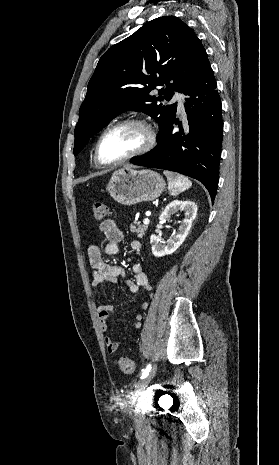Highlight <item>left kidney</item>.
<instances>
[{
    "mask_svg": "<svg viewBox=\"0 0 279 465\" xmlns=\"http://www.w3.org/2000/svg\"><path fill=\"white\" fill-rule=\"evenodd\" d=\"M179 211L184 212L185 218L182 220L177 232L170 239L164 242L155 234L151 235L150 243L152 254L155 257H163L174 253L185 241L197 215V205L194 202L189 200H174L170 202L161 213L159 220L161 223H165L169 220L171 215L176 214Z\"/></svg>",
    "mask_w": 279,
    "mask_h": 465,
    "instance_id": "1",
    "label": "left kidney"
}]
</instances>
